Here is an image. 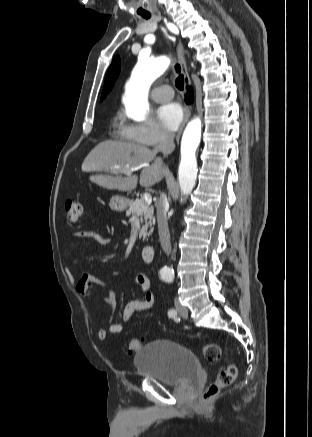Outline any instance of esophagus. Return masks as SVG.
<instances>
[{"label":"esophagus","mask_w":312,"mask_h":437,"mask_svg":"<svg viewBox=\"0 0 312 437\" xmlns=\"http://www.w3.org/2000/svg\"><path fill=\"white\" fill-rule=\"evenodd\" d=\"M177 51H178V56H179V60H180L181 71L184 75L185 91H186V93H188L190 86H191V80H190V76H189L188 69H187V64H186L185 57H184V48L180 42L177 46ZM190 115H191L190 105L186 104L185 109H184V118H183V121H182L181 126L179 128L178 134L176 136L177 143H179L181 134L183 132V129H184L186 123L188 122V120L190 118Z\"/></svg>","instance_id":"obj_1"}]
</instances>
